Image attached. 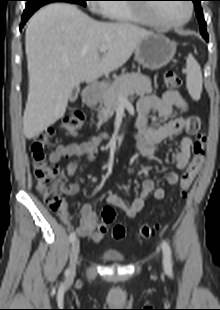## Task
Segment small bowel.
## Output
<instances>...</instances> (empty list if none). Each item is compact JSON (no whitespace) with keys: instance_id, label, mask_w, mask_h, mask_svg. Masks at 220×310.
<instances>
[{"instance_id":"obj_1","label":"small bowel","mask_w":220,"mask_h":310,"mask_svg":"<svg viewBox=\"0 0 220 310\" xmlns=\"http://www.w3.org/2000/svg\"><path fill=\"white\" fill-rule=\"evenodd\" d=\"M178 110L180 116L170 119L157 128L147 126L148 115L151 111H156L160 118L167 119L172 116L174 110ZM188 103L185 97L178 90H167L161 97L154 95L142 96L137 104L136 131L135 137L138 140L137 146L143 157L149 158L156 144L160 141L186 132L190 135L198 133L200 129V119L194 115H188ZM100 141L96 137L80 143H69L57 146L50 153V161L58 163L60 160L70 157H86L88 161H93L98 155ZM192 139L184 136L180 140L179 148L173 152L172 158L178 170H184L191 157ZM78 164L70 162L66 166V173L73 177L77 173ZM92 183H97L98 178L90 177ZM166 181L170 185H176L179 181V174L171 171L166 176ZM78 184L72 183L68 186L67 194L74 195L78 192ZM152 195L155 200H162L165 197V190L155 187L152 179L143 181L140 193L127 203L121 196L111 193L107 197L108 203L123 210L129 218H135L143 209L146 198ZM81 218L76 232L81 237L91 238L94 242H99L105 235L106 225L99 222L97 213L90 204L81 207ZM60 220L67 226H71L73 217L67 210V203L57 211Z\"/></svg>"}]
</instances>
